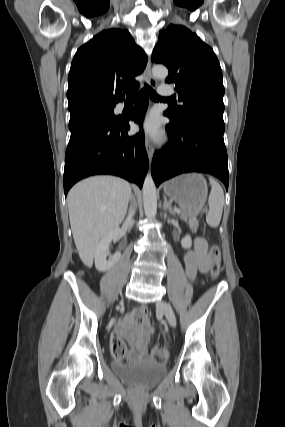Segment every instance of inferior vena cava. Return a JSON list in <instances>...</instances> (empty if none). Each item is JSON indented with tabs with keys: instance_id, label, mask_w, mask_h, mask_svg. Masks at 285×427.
<instances>
[{
	"instance_id": "602c4592",
	"label": "inferior vena cava",
	"mask_w": 285,
	"mask_h": 427,
	"mask_svg": "<svg viewBox=\"0 0 285 427\" xmlns=\"http://www.w3.org/2000/svg\"><path fill=\"white\" fill-rule=\"evenodd\" d=\"M133 215H134V209L130 208L129 214H128L127 218H126V222L127 223L131 224L133 222V220H132Z\"/></svg>"
}]
</instances>
